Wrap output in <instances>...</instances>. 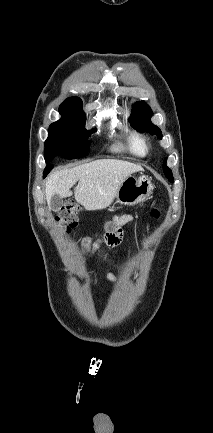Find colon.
<instances>
[{"instance_id":"colon-1","label":"colon","mask_w":213,"mask_h":433,"mask_svg":"<svg viewBox=\"0 0 213 433\" xmlns=\"http://www.w3.org/2000/svg\"><path fill=\"white\" fill-rule=\"evenodd\" d=\"M80 211L79 205L75 203H70L66 205L55 217L56 222L65 227L67 231L71 230L77 225L78 213ZM151 217L158 218L159 211L154 208L150 212Z\"/></svg>"}]
</instances>
